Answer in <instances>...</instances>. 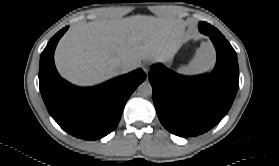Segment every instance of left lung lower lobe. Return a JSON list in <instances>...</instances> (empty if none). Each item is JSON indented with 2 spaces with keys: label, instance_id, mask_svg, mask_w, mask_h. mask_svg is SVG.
<instances>
[{
  "label": "left lung lower lobe",
  "instance_id": "obj_1",
  "mask_svg": "<svg viewBox=\"0 0 279 166\" xmlns=\"http://www.w3.org/2000/svg\"><path fill=\"white\" fill-rule=\"evenodd\" d=\"M199 31L210 37L217 51V64L210 74L182 76L161 64L149 72L158 118L168 131L181 137L202 134L218 124L239 86L237 55L230 43L206 22L199 23Z\"/></svg>",
  "mask_w": 279,
  "mask_h": 166
}]
</instances>
